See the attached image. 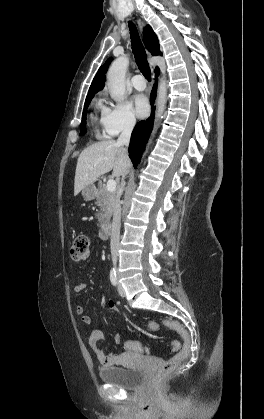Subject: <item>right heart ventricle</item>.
I'll return each mask as SVG.
<instances>
[{"mask_svg":"<svg viewBox=\"0 0 264 419\" xmlns=\"http://www.w3.org/2000/svg\"><path fill=\"white\" fill-rule=\"evenodd\" d=\"M105 111L102 100L100 98L96 99L94 102V112L91 114V120L94 124H96L97 122V113L101 112L103 115V112ZM95 134L97 137H103L104 136V132L101 131L100 129L96 128L95 129Z\"/></svg>","mask_w":264,"mask_h":419,"instance_id":"1","label":"right heart ventricle"}]
</instances>
